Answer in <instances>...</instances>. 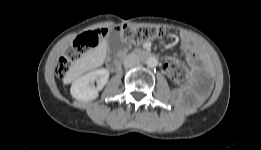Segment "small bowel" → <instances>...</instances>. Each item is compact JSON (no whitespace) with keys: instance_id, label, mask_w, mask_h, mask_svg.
Segmentation results:
<instances>
[{"instance_id":"obj_1","label":"small bowel","mask_w":261,"mask_h":150,"mask_svg":"<svg viewBox=\"0 0 261 150\" xmlns=\"http://www.w3.org/2000/svg\"><path fill=\"white\" fill-rule=\"evenodd\" d=\"M180 38H181V42H182V48L186 54L187 61L191 64L194 63V61L196 59V52L194 49L192 39L188 35H185V34H182ZM146 46L148 47L149 43H147ZM166 65H165L164 69H165V72L167 73Z\"/></svg>"}]
</instances>
